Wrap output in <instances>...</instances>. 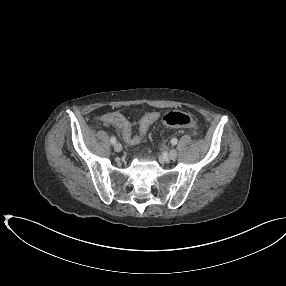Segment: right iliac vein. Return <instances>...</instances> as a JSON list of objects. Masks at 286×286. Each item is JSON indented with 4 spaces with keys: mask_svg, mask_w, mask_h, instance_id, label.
<instances>
[{
    "mask_svg": "<svg viewBox=\"0 0 286 286\" xmlns=\"http://www.w3.org/2000/svg\"><path fill=\"white\" fill-rule=\"evenodd\" d=\"M114 149L117 151V152H120L122 150V145L121 143L117 142L114 144Z\"/></svg>",
    "mask_w": 286,
    "mask_h": 286,
    "instance_id": "63e3f726",
    "label": "right iliac vein"
}]
</instances>
